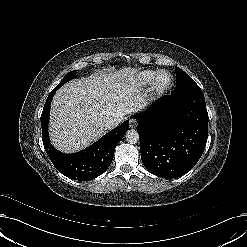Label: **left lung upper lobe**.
<instances>
[{"instance_id":"1","label":"left lung upper lobe","mask_w":247,"mask_h":247,"mask_svg":"<svg viewBox=\"0 0 247 247\" xmlns=\"http://www.w3.org/2000/svg\"><path fill=\"white\" fill-rule=\"evenodd\" d=\"M176 73H177V78H178V82H177L178 85L175 88V93H184L192 89L200 88L192 80V78L180 68H176Z\"/></svg>"}]
</instances>
